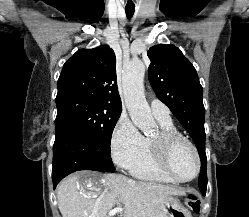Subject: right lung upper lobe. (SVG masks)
<instances>
[{
	"instance_id": "right-lung-upper-lobe-1",
	"label": "right lung upper lobe",
	"mask_w": 249,
	"mask_h": 217,
	"mask_svg": "<svg viewBox=\"0 0 249 217\" xmlns=\"http://www.w3.org/2000/svg\"><path fill=\"white\" fill-rule=\"evenodd\" d=\"M79 95L122 107L116 82V57L107 45L78 50L63 66L57 97Z\"/></svg>"
}]
</instances>
